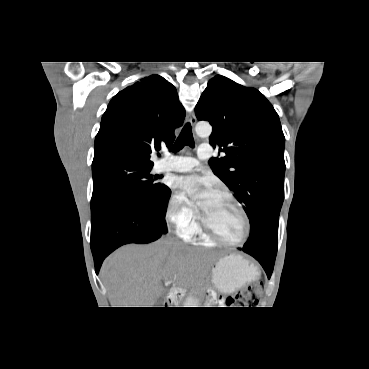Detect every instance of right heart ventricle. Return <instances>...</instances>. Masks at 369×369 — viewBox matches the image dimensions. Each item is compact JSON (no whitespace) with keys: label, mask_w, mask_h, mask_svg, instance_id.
Wrapping results in <instances>:
<instances>
[{"label":"right heart ventricle","mask_w":369,"mask_h":369,"mask_svg":"<svg viewBox=\"0 0 369 369\" xmlns=\"http://www.w3.org/2000/svg\"><path fill=\"white\" fill-rule=\"evenodd\" d=\"M184 237H186L188 239H192L193 237H197L202 243H204L206 245L212 244V241L204 236V234L201 232L200 228L197 225L190 234L184 235Z\"/></svg>","instance_id":"right-heart-ventricle-1"}]
</instances>
